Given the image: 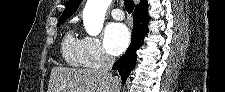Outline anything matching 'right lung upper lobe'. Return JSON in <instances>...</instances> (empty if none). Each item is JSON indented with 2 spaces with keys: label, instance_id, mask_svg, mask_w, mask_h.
Segmentation results:
<instances>
[{
  "label": "right lung upper lobe",
  "instance_id": "cb5924a9",
  "mask_svg": "<svg viewBox=\"0 0 225 92\" xmlns=\"http://www.w3.org/2000/svg\"><path fill=\"white\" fill-rule=\"evenodd\" d=\"M82 0H69L64 12L62 13V16L60 20H66L71 15L74 14V12L78 9V6L80 5ZM140 12H147L148 11V4L147 0H140V3L136 5V9Z\"/></svg>",
  "mask_w": 225,
  "mask_h": 92
}]
</instances>
